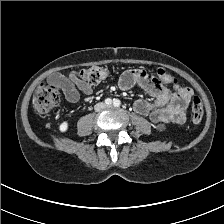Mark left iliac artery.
I'll return each instance as SVG.
<instances>
[{
	"label": "left iliac artery",
	"mask_w": 224,
	"mask_h": 224,
	"mask_svg": "<svg viewBox=\"0 0 224 224\" xmlns=\"http://www.w3.org/2000/svg\"><path fill=\"white\" fill-rule=\"evenodd\" d=\"M113 105H114L115 107H119V106L121 105V101H120L119 99H114V101H113Z\"/></svg>",
	"instance_id": "44dca946"
}]
</instances>
